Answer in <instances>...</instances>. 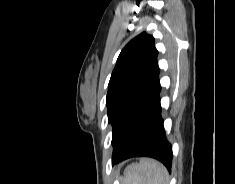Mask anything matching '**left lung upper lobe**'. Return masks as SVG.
I'll list each match as a JSON object with an SVG mask.
<instances>
[{
  "label": "left lung upper lobe",
  "mask_w": 235,
  "mask_h": 184,
  "mask_svg": "<svg viewBox=\"0 0 235 184\" xmlns=\"http://www.w3.org/2000/svg\"><path fill=\"white\" fill-rule=\"evenodd\" d=\"M154 38L143 32L121 51L112 72L106 105L112 125V159L129 139L136 120L152 97L160 69Z\"/></svg>",
  "instance_id": "1"
}]
</instances>
